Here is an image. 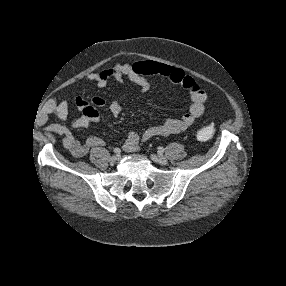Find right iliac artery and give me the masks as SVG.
<instances>
[{
    "instance_id": "82829eb1",
    "label": "right iliac artery",
    "mask_w": 286,
    "mask_h": 286,
    "mask_svg": "<svg viewBox=\"0 0 286 286\" xmlns=\"http://www.w3.org/2000/svg\"><path fill=\"white\" fill-rule=\"evenodd\" d=\"M114 152H115V153H121V148H115V149H114Z\"/></svg>"
}]
</instances>
